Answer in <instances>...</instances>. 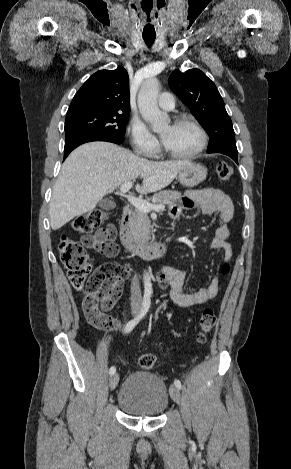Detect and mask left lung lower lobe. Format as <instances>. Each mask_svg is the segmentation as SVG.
I'll use <instances>...</instances> for the list:
<instances>
[{
    "label": "left lung lower lobe",
    "mask_w": 291,
    "mask_h": 469,
    "mask_svg": "<svg viewBox=\"0 0 291 469\" xmlns=\"http://www.w3.org/2000/svg\"><path fill=\"white\" fill-rule=\"evenodd\" d=\"M215 152L222 153V154H225V155L231 157V158L238 164L237 150H233V149H219V150L211 151V152H208V151H207V153H215Z\"/></svg>",
    "instance_id": "left-lung-lower-lobe-1"
}]
</instances>
